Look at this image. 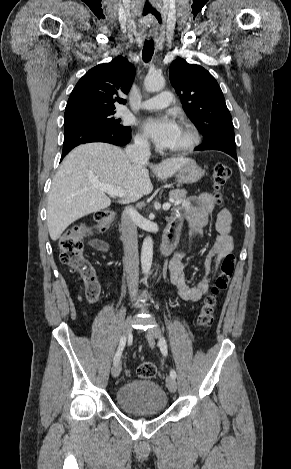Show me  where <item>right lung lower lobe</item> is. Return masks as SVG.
<instances>
[{
	"instance_id": "98d812e1",
	"label": "right lung lower lobe",
	"mask_w": 291,
	"mask_h": 469,
	"mask_svg": "<svg viewBox=\"0 0 291 469\" xmlns=\"http://www.w3.org/2000/svg\"><path fill=\"white\" fill-rule=\"evenodd\" d=\"M131 140V128H104L77 125L65 129L61 160L74 147L89 142H106L123 146Z\"/></svg>"
}]
</instances>
